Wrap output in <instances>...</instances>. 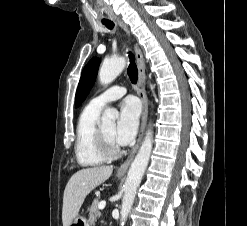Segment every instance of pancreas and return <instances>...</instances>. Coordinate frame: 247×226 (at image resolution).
Segmentation results:
<instances>
[{"mask_svg":"<svg viewBox=\"0 0 247 226\" xmlns=\"http://www.w3.org/2000/svg\"><path fill=\"white\" fill-rule=\"evenodd\" d=\"M98 199H94L89 210V222L94 224L97 221V218L101 216V213L98 211Z\"/></svg>","mask_w":247,"mask_h":226,"instance_id":"1","label":"pancreas"}]
</instances>
